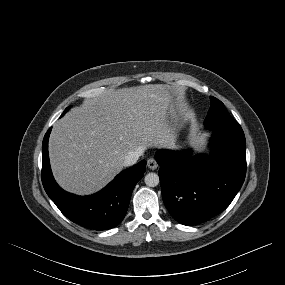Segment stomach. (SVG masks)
<instances>
[{
  "instance_id": "obj_1",
  "label": "stomach",
  "mask_w": 285,
  "mask_h": 285,
  "mask_svg": "<svg viewBox=\"0 0 285 285\" xmlns=\"http://www.w3.org/2000/svg\"><path fill=\"white\" fill-rule=\"evenodd\" d=\"M167 92H168V95H169L171 101H173L175 99V95H176L175 94V89L170 87V86H168Z\"/></svg>"
}]
</instances>
